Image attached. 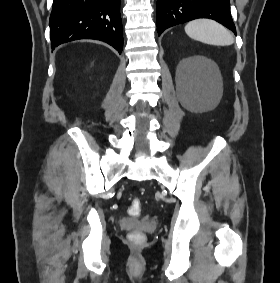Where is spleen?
I'll return each instance as SVG.
<instances>
[{"instance_id": "1", "label": "spleen", "mask_w": 280, "mask_h": 283, "mask_svg": "<svg viewBox=\"0 0 280 283\" xmlns=\"http://www.w3.org/2000/svg\"><path fill=\"white\" fill-rule=\"evenodd\" d=\"M186 34L194 40L216 46L234 43L231 33L221 24L210 19H196L185 26Z\"/></svg>"}]
</instances>
